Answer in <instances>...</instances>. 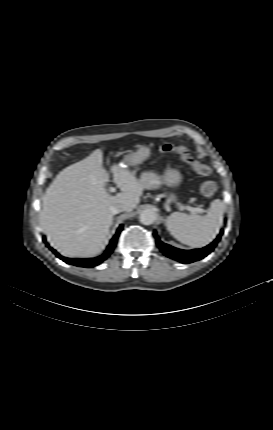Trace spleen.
Segmentation results:
<instances>
[{
  "mask_svg": "<svg viewBox=\"0 0 273 430\" xmlns=\"http://www.w3.org/2000/svg\"><path fill=\"white\" fill-rule=\"evenodd\" d=\"M223 202L216 199L211 202L208 213L204 216L174 212L168 216L166 227L170 234L181 243L199 248L209 244L222 225Z\"/></svg>",
  "mask_w": 273,
  "mask_h": 430,
  "instance_id": "obj_1",
  "label": "spleen"
}]
</instances>
